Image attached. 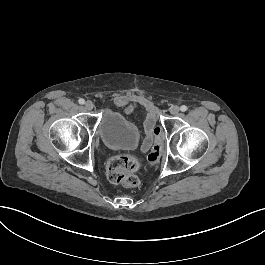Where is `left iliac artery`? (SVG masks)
<instances>
[{
    "label": "left iliac artery",
    "instance_id": "obj_1",
    "mask_svg": "<svg viewBox=\"0 0 265 265\" xmlns=\"http://www.w3.org/2000/svg\"><path fill=\"white\" fill-rule=\"evenodd\" d=\"M187 109H188V108H187V106H185V105H182V106L180 107V110H181L182 112H185Z\"/></svg>",
    "mask_w": 265,
    "mask_h": 265
}]
</instances>
